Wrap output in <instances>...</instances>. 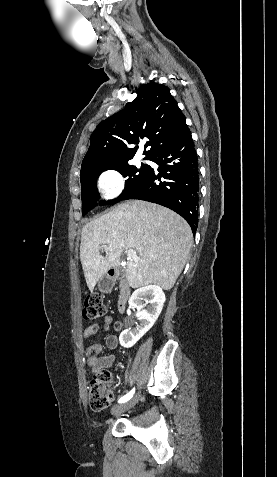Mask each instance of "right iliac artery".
Instances as JSON below:
<instances>
[{
    "label": "right iliac artery",
    "mask_w": 277,
    "mask_h": 477,
    "mask_svg": "<svg viewBox=\"0 0 277 477\" xmlns=\"http://www.w3.org/2000/svg\"><path fill=\"white\" fill-rule=\"evenodd\" d=\"M135 392V388H133L128 394H126L125 396H123L122 398L119 399V403H124L126 401H128L134 394Z\"/></svg>",
    "instance_id": "right-iliac-artery-1"
}]
</instances>
